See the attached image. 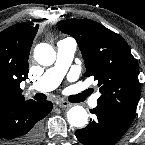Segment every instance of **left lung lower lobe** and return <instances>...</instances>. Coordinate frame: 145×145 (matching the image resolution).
Segmentation results:
<instances>
[{
  "mask_svg": "<svg viewBox=\"0 0 145 145\" xmlns=\"http://www.w3.org/2000/svg\"><path fill=\"white\" fill-rule=\"evenodd\" d=\"M91 113L96 115V119L75 132L77 139L84 145H114L131 124L132 118L99 105Z\"/></svg>",
  "mask_w": 145,
  "mask_h": 145,
  "instance_id": "obj_1",
  "label": "left lung lower lobe"
}]
</instances>
